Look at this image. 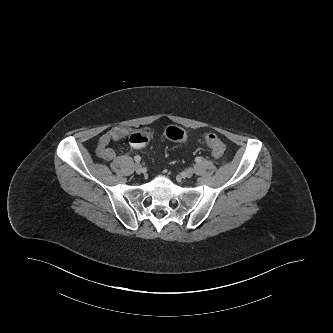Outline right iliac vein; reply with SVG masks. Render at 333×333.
Masks as SVG:
<instances>
[{
	"label": "right iliac vein",
	"mask_w": 333,
	"mask_h": 333,
	"mask_svg": "<svg viewBox=\"0 0 333 333\" xmlns=\"http://www.w3.org/2000/svg\"><path fill=\"white\" fill-rule=\"evenodd\" d=\"M134 167H135V171H136L138 174H140V173L142 172V166H141L140 163H136Z\"/></svg>",
	"instance_id": "right-iliac-vein-1"
}]
</instances>
